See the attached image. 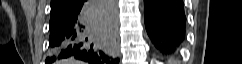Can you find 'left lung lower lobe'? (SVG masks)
<instances>
[{
	"mask_svg": "<svg viewBox=\"0 0 242 64\" xmlns=\"http://www.w3.org/2000/svg\"><path fill=\"white\" fill-rule=\"evenodd\" d=\"M145 26L155 47L171 55L185 38L183 0H144Z\"/></svg>",
	"mask_w": 242,
	"mask_h": 64,
	"instance_id": "0a47b994",
	"label": "left lung lower lobe"
}]
</instances>
